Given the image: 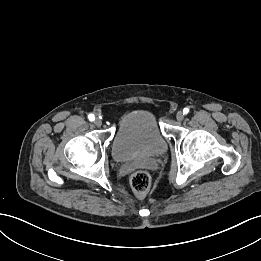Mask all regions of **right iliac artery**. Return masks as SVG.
Masks as SVG:
<instances>
[{"label": "right iliac artery", "instance_id": "right-iliac-artery-1", "mask_svg": "<svg viewBox=\"0 0 261 261\" xmlns=\"http://www.w3.org/2000/svg\"><path fill=\"white\" fill-rule=\"evenodd\" d=\"M89 121L93 122L95 120V116L93 114L88 115Z\"/></svg>", "mask_w": 261, "mask_h": 261}]
</instances>
